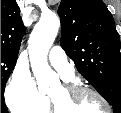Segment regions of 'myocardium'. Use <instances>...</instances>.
I'll return each instance as SVG.
<instances>
[{
    "label": "myocardium",
    "mask_w": 121,
    "mask_h": 113,
    "mask_svg": "<svg viewBox=\"0 0 121 113\" xmlns=\"http://www.w3.org/2000/svg\"><path fill=\"white\" fill-rule=\"evenodd\" d=\"M61 87L67 95L66 105L68 108L74 107L75 103H74L73 97L75 95L90 93V94L96 96L103 103V105L105 107L104 113L111 112V106H110L109 101L95 89L82 85V84H79V83H64L63 85H61ZM49 103H50L54 113H68V112H62L60 104L56 101L55 98H53L51 96H49Z\"/></svg>",
    "instance_id": "myocardium-1"
}]
</instances>
